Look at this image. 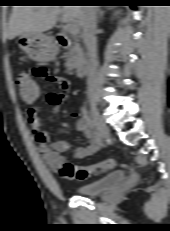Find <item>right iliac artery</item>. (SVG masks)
I'll return each instance as SVG.
<instances>
[{"mask_svg": "<svg viewBox=\"0 0 170 231\" xmlns=\"http://www.w3.org/2000/svg\"><path fill=\"white\" fill-rule=\"evenodd\" d=\"M82 117L86 120L89 129L91 130V132L94 134V136L100 140V135L99 132L97 130L96 124L91 120V118L88 115V111L86 107H82Z\"/></svg>", "mask_w": 170, "mask_h": 231, "instance_id": "82829eb1", "label": "right iliac artery"}]
</instances>
